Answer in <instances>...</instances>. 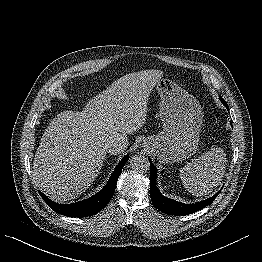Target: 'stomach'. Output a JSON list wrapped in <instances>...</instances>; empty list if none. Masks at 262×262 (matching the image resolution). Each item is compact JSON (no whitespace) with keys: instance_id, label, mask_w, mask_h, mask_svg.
I'll use <instances>...</instances> for the list:
<instances>
[{"instance_id":"0dacf381","label":"stomach","mask_w":262,"mask_h":262,"mask_svg":"<svg viewBox=\"0 0 262 262\" xmlns=\"http://www.w3.org/2000/svg\"><path fill=\"white\" fill-rule=\"evenodd\" d=\"M156 90L161 97L163 131L143 139L142 145L154 151L163 163L180 162L196 153L203 112L192 95L168 78L161 79Z\"/></svg>"}]
</instances>
